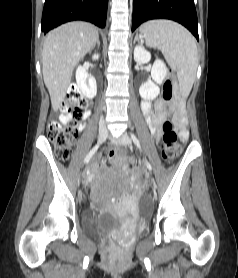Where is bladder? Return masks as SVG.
Here are the masks:
<instances>
[{
    "mask_svg": "<svg viewBox=\"0 0 238 278\" xmlns=\"http://www.w3.org/2000/svg\"><path fill=\"white\" fill-rule=\"evenodd\" d=\"M84 230L95 237H107L116 229V222L105 214L88 212L84 218Z\"/></svg>",
    "mask_w": 238,
    "mask_h": 278,
    "instance_id": "bladder-1",
    "label": "bladder"
}]
</instances>
